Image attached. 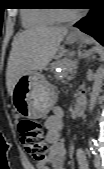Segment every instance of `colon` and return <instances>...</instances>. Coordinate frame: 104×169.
I'll return each instance as SVG.
<instances>
[{"label": "colon", "instance_id": "1", "mask_svg": "<svg viewBox=\"0 0 104 169\" xmlns=\"http://www.w3.org/2000/svg\"><path fill=\"white\" fill-rule=\"evenodd\" d=\"M18 132L21 143L26 152L35 160L43 161L48 153V146L43 138V129L40 123L24 119L18 123Z\"/></svg>", "mask_w": 104, "mask_h": 169}]
</instances>
